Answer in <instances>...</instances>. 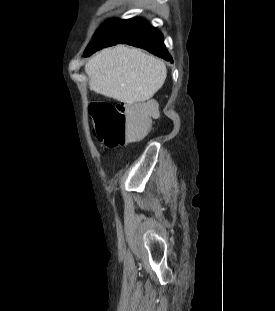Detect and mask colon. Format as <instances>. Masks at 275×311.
<instances>
[{"label": "colon", "mask_w": 275, "mask_h": 311, "mask_svg": "<svg viewBox=\"0 0 275 311\" xmlns=\"http://www.w3.org/2000/svg\"><path fill=\"white\" fill-rule=\"evenodd\" d=\"M89 111L96 138L109 149L142 139L149 131L151 119L158 116L152 104L123 106L99 101L92 103Z\"/></svg>", "instance_id": "colon-1"}]
</instances>
